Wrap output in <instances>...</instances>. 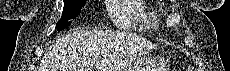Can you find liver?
Returning a JSON list of instances; mask_svg holds the SVG:
<instances>
[{
	"instance_id": "obj_1",
	"label": "liver",
	"mask_w": 230,
	"mask_h": 71,
	"mask_svg": "<svg viewBox=\"0 0 230 71\" xmlns=\"http://www.w3.org/2000/svg\"><path fill=\"white\" fill-rule=\"evenodd\" d=\"M155 45L128 32L75 30L46 50L39 71H121Z\"/></svg>"
}]
</instances>
